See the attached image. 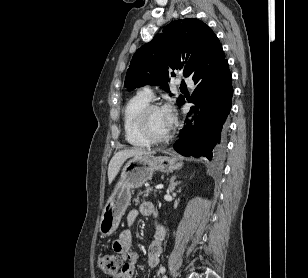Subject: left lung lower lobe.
I'll use <instances>...</instances> for the list:
<instances>
[{
    "label": "left lung lower lobe",
    "instance_id": "obj_1",
    "mask_svg": "<svg viewBox=\"0 0 308 278\" xmlns=\"http://www.w3.org/2000/svg\"><path fill=\"white\" fill-rule=\"evenodd\" d=\"M231 81L226 59L207 76L194 80L197 87L190 102L196 106L191 108L190 113L199 108L198 120L194 126L186 120L187 127L174 144L178 153L186 157L204 156L211 160L221 151L227 129L226 119L232 105Z\"/></svg>",
    "mask_w": 308,
    "mask_h": 278
}]
</instances>
